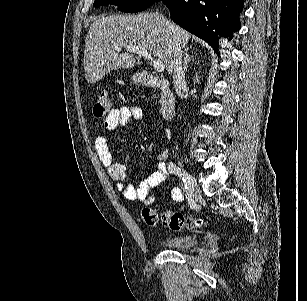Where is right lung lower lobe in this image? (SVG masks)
<instances>
[{"instance_id":"98d812e1","label":"right lung lower lobe","mask_w":307,"mask_h":301,"mask_svg":"<svg viewBox=\"0 0 307 301\" xmlns=\"http://www.w3.org/2000/svg\"><path fill=\"white\" fill-rule=\"evenodd\" d=\"M159 1V0H158ZM244 0H163L172 20L214 49L219 36L232 39L241 27L239 15Z\"/></svg>"}]
</instances>
